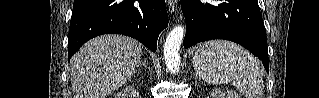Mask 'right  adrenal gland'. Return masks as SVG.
<instances>
[{
  "label": "right adrenal gland",
  "mask_w": 319,
  "mask_h": 98,
  "mask_svg": "<svg viewBox=\"0 0 319 98\" xmlns=\"http://www.w3.org/2000/svg\"><path fill=\"white\" fill-rule=\"evenodd\" d=\"M146 63H147V59H146V58H144V61L141 63V66H145V67H147Z\"/></svg>",
  "instance_id": "right-adrenal-gland-1"
}]
</instances>
